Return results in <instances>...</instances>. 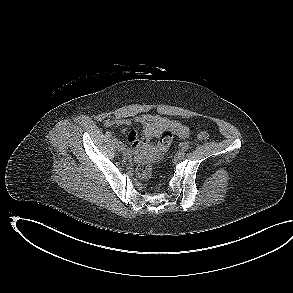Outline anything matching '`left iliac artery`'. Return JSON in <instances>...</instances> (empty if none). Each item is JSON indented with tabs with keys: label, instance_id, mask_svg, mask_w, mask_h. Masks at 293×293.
Here are the masks:
<instances>
[{
	"label": "left iliac artery",
	"instance_id": "obj_1",
	"mask_svg": "<svg viewBox=\"0 0 293 293\" xmlns=\"http://www.w3.org/2000/svg\"><path fill=\"white\" fill-rule=\"evenodd\" d=\"M180 149H181L182 151H187V150H188V145H187L186 143H181V144H180Z\"/></svg>",
	"mask_w": 293,
	"mask_h": 293
}]
</instances>
